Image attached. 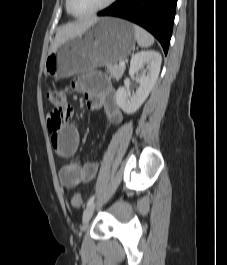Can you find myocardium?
I'll return each mask as SVG.
<instances>
[{"label":"myocardium","instance_id":"1","mask_svg":"<svg viewBox=\"0 0 227 265\" xmlns=\"http://www.w3.org/2000/svg\"><path fill=\"white\" fill-rule=\"evenodd\" d=\"M116 0H106L103 4H101L100 6H98L97 8L86 12V13H76L75 11H73L72 7H71V0H66V8L67 11L78 18H83V17H87V16H91L94 14H97L105 9H107L108 7H110Z\"/></svg>","mask_w":227,"mask_h":265}]
</instances>
